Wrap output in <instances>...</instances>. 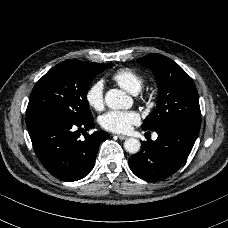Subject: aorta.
Instances as JSON below:
<instances>
[{"label": "aorta", "mask_w": 228, "mask_h": 228, "mask_svg": "<svg viewBox=\"0 0 228 228\" xmlns=\"http://www.w3.org/2000/svg\"><path fill=\"white\" fill-rule=\"evenodd\" d=\"M105 103L114 110L129 109L133 105V99L122 90L110 89L105 95ZM140 147V141L135 138H129L124 142L125 150L131 154L137 153Z\"/></svg>", "instance_id": "aorta-1"}]
</instances>
